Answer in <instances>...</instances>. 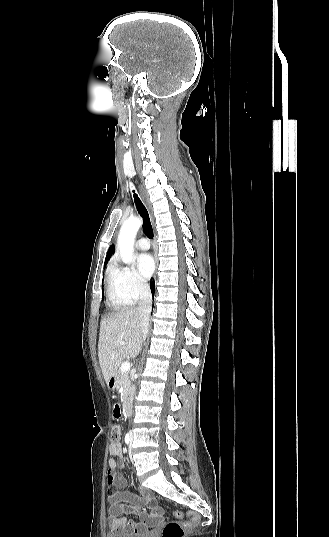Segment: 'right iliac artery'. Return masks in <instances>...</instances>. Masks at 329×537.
Wrapping results in <instances>:
<instances>
[{
	"label": "right iliac artery",
	"mask_w": 329,
	"mask_h": 537,
	"mask_svg": "<svg viewBox=\"0 0 329 537\" xmlns=\"http://www.w3.org/2000/svg\"><path fill=\"white\" fill-rule=\"evenodd\" d=\"M129 442H130V436H129V433H127V434L125 435V443L128 445Z\"/></svg>",
	"instance_id": "1"
}]
</instances>
